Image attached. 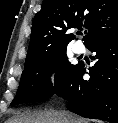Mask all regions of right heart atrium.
<instances>
[{
  "label": "right heart atrium",
  "mask_w": 118,
  "mask_h": 123,
  "mask_svg": "<svg viewBox=\"0 0 118 123\" xmlns=\"http://www.w3.org/2000/svg\"><path fill=\"white\" fill-rule=\"evenodd\" d=\"M55 77H56V75H55V72H53V71L48 72L47 75H46V79L50 83H53L55 81Z\"/></svg>",
  "instance_id": "obj_1"
}]
</instances>
